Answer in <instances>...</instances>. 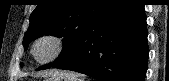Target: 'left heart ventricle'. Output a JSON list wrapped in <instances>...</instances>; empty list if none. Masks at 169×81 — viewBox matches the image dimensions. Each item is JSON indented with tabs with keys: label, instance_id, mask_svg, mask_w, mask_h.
<instances>
[{
	"label": "left heart ventricle",
	"instance_id": "b2bd125f",
	"mask_svg": "<svg viewBox=\"0 0 169 81\" xmlns=\"http://www.w3.org/2000/svg\"><path fill=\"white\" fill-rule=\"evenodd\" d=\"M54 51V44L50 41H42L35 48V56L41 60L47 59Z\"/></svg>",
	"mask_w": 169,
	"mask_h": 81
}]
</instances>
